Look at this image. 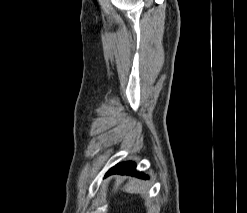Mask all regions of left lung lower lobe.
Listing matches in <instances>:
<instances>
[{"label": "left lung lower lobe", "mask_w": 247, "mask_h": 213, "mask_svg": "<svg viewBox=\"0 0 247 213\" xmlns=\"http://www.w3.org/2000/svg\"><path fill=\"white\" fill-rule=\"evenodd\" d=\"M110 174L136 175L137 177L143 179L148 178V176L144 175L143 173L137 172L135 163L131 161L117 164L106 173V176Z\"/></svg>", "instance_id": "left-lung-lower-lobe-1"}]
</instances>
